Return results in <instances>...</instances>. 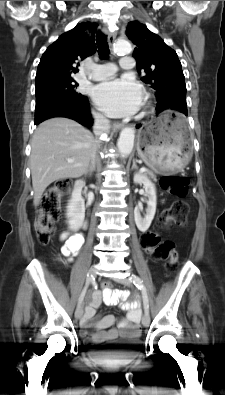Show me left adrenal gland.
I'll list each match as a JSON object with an SVG mask.
<instances>
[{
	"mask_svg": "<svg viewBox=\"0 0 225 395\" xmlns=\"http://www.w3.org/2000/svg\"><path fill=\"white\" fill-rule=\"evenodd\" d=\"M133 169H138V167H137V165H136V160H135V159L133 160L132 170H133Z\"/></svg>",
	"mask_w": 225,
	"mask_h": 395,
	"instance_id": "a2214340",
	"label": "left adrenal gland"
}]
</instances>
